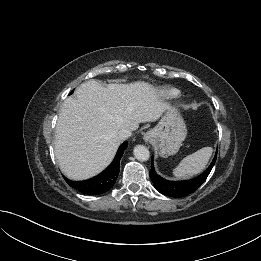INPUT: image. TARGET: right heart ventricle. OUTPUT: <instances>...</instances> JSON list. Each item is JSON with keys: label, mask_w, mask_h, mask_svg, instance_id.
Segmentation results:
<instances>
[{"label": "right heart ventricle", "mask_w": 261, "mask_h": 261, "mask_svg": "<svg viewBox=\"0 0 261 261\" xmlns=\"http://www.w3.org/2000/svg\"><path fill=\"white\" fill-rule=\"evenodd\" d=\"M159 94L165 100H173L179 97L180 91L174 87H163L159 90Z\"/></svg>", "instance_id": "1"}]
</instances>
